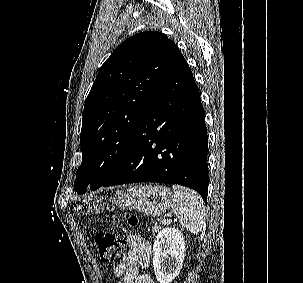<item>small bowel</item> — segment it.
<instances>
[{"label":"small bowel","instance_id":"c3829d8e","mask_svg":"<svg viewBox=\"0 0 303 283\" xmlns=\"http://www.w3.org/2000/svg\"><path fill=\"white\" fill-rule=\"evenodd\" d=\"M127 251L115 268L116 283H154L148 275H140V270L148 266L151 246L143 237L133 234L126 239Z\"/></svg>","mask_w":303,"mask_h":283}]
</instances>
